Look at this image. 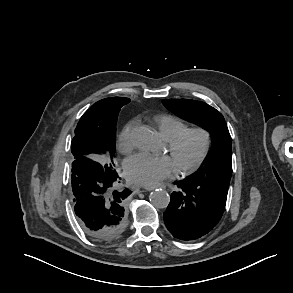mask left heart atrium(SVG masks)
<instances>
[{
	"instance_id": "39dd6f15",
	"label": "left heart atrium",
	"mask_w": 293,
	"mask_h": 293,
	"mask_svg": "<svg viewBox=\"0 0 293 293\" xmlns=\"http://www.w3.org/2000/svg\"><path fill=\"white\" fill-rule=\"evenodd\" d=\"M176 168L170 157L138 153L126 161L128 179L136 184L154 186L173 175Z\"/></svg>"
}]
</instances>
